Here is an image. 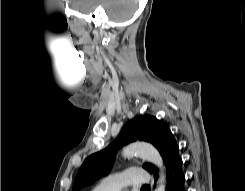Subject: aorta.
Masks as SVG:
<instances>
[{"mask_svg":"<svg viewBox=\"0 0 245 191\" xmlns=\"http://www.w3.org/2000/svg\"><path fill=\"white\" fill-rule=\"evenodd\" d=\"M122 155L124 157L138 156L143 160L154 163L160 169V177L155 191H165L166 177L163 161L155 147L146 142H134L123 149Z\"/></svg>","mask_w":245,"mask_h":191,"instance_id":"1","label":"aorta"}]
</instances>
